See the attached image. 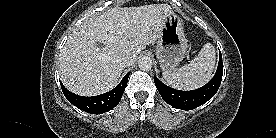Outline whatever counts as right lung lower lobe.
Masks as SVG:
<instances>
[{"label":"right lung lower lobe","mask_w":276,"mask_h":138,"mask_svg":"<svg viewBox=\"0 0 276 138\" xmlns=\"http://www.w3.org/2000/svg\"><path fill=\"white\" fill-rule=\"evenodd\" d=\"M129 74L127 73L122 81L111 91L92 97L76 95L67 90L61 82L60 85L65 97L74 106L90 114H102L118 105L126 88Z\"/></svg>","instance_id":"1"}]
</instances>
